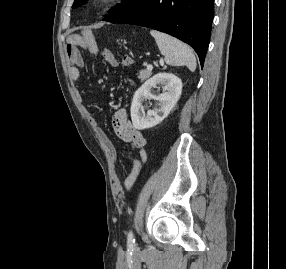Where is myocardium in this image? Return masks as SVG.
<instances>
[{
	"mask_svg": "<svg viewBox=\"0 0 286 269\" xmlns=\"http://www.w3.org/2000/svg\"><path fill=\"white\" fill-rule=\"evenodd\" d=\"M94 4L98 7H110L120 2V0H94Z\"/></svg>",
	"mask_w": 286,
	"mask_h": 269,
	"instance_id": "f54148a6",
	"label": "myocardium"
}]
</instances>
